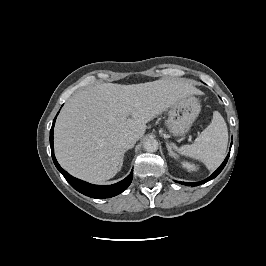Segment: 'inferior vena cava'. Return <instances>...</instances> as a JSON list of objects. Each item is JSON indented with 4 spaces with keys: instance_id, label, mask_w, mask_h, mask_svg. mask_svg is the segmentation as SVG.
I'll list each match as a JSON object with an SVG mask.
<instances>
[{
    "instance_id": "1",
    "label": "inferior vena cava",
    "mask_w": 266,
    "mask_h": 266,
    "mask_svg": "<svg viewBox=\"0 0 266 266\" xmlns=\"http://www.w3.org/2000/svg\"><path fill=\"white\" fill-rule=\"evenodd\" d=\"M137 141V138L133 134H126L122 137L121 144L124 149H130L132 148Z\"/></svg>"
}]
</instances>
